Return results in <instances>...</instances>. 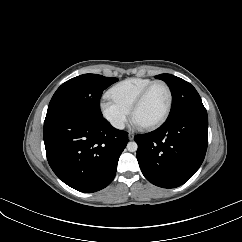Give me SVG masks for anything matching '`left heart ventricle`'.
Segmentation results:
<instances>
[{
	"instance_id": "left-heart-ventricle-1",
	"label": "left heart ventricle",
	"mask_w": 242,
	"mask_h": 242,
	"mask_svg": "<svg viewBox=\"0 0 242 242\" xmlns=\"http://www.w3.org/2000/svg\"><path fill=\"white\" fill-rule=\"evenodd\" d=\"M168 101V93L163 85H156L148 94L135 114L138 125H146L156 121L164 112Z\"/></svg>"
}]
</instances>
